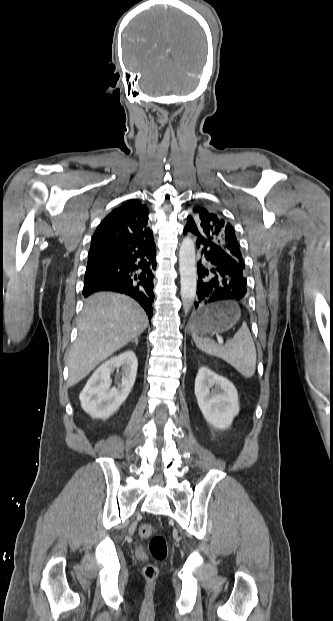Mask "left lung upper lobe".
Segmentation results:
<instances>
[{
  "mask_svg": "<svg viewBox=\"0 0 333 621\" xmlns=\"http://www.w3.org/2000/svg\"><path fill=\"white\" fill-rule=\"evenodd\" d=\"M185 227L195 229L202 236L215 242L245 268L234 228L219 212L195 206L193 213L188 216Z\"/></svg>",
  "mask_w": 333,
  "mask_h": 621,
  "instance_id": "5c2ea615",
  "label": "left lung upper lobe"
}]
</instances>
